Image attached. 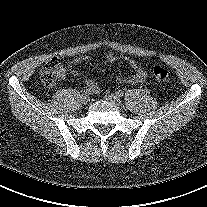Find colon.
Segmentation results:
<instances>
[{
  "label": "colon",
  "mask_w": 207,
  "mask_h": 207,
  "mask_svg": "<svg viewBox=\"0 0 207 207\" xmlns=\"http://www.w3.org/2000/svg\"><path fill=\"white\" fill-rule=\"evenodd\" d=\"M64 68L60 61L56 58H53L48 62L40 72L41 81L47 86H53L58 78H60L61 73ZM153 75L157 81L164 83L169 78V73L166 69L160 66H156L153 69Z\"/></svg>",
  "instance_id": "colon-1"
}]
</instances>
